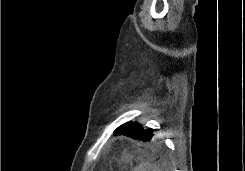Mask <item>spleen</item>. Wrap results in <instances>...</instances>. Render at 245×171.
<instances>
[{
  "instance_id": "spleen-1",
  "label": "spleen",
  "mask_w": 245,
  "mask_h": 171,
  "mask_svg": "<svg viewBox=\"0 0 245 171\" xmlns=\"http://www.w3.org/2000/svg\"><path fill=\"white\" fill-rule=\"evenodd\" d=\"M133 171H162V170L157 164L146 161L140 163L139 166L133 169Z\"/></svg>"
}]
</instances>
